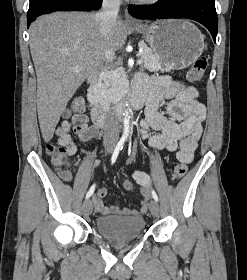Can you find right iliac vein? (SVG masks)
Masks as SVG:
<instances>
[{
    "label": "right iliac vein",
    "mask_w": 247,
    "mask_h": 280,
    "mask_svg": "<svg viewBox=\"0 0 247 280\" xmlns=\"http://www.w3.org/2000/svg\"><path fill=\"white\" fill-rule=\"evenodd\" d=\"M112 149H113L112 145H109V146H107L106 151H107L108 153H110V152H112ZM92 209H93L92 201H91L90 199H87V200L83 203V206H82L83 214H84L85 216L90 215L91 212H92Z\"/></svg>",
    "instance_id": "right-iliac-vein-1"
}]
</instances>
